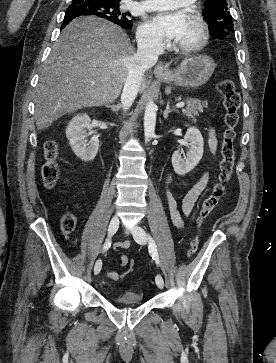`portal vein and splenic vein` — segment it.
Listing matches in <instances>:
<instances>
[{
  "label": "portal vein and splenic vein",
  "instance_id": "1",
  "mask_svg": "<svg viewBox=\"0 0 276 363\" xmlns=\"http://www.w3.org/2000/svg\"><path fill=\"white\" fill-rule=\"evenodd\" d=\"M184 106H185V103L184 102H179V103L176 104V107L177 108H182Z\"/></svg>",
  "mask_w": 276,
  "mask_h": 363
}]
</instances>
